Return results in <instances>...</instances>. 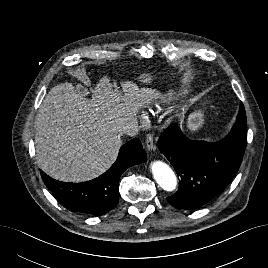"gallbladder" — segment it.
I'll return each mask as SVG.
<instances>
[{
	"label": "gallbladder",
	"mask_w": 268,
	"mask_h": 268,
	"mask_svg": "<svg viewBox=\"0 0 268 268\" xmlns=\"http://www.w3.org/2000/svg\"><path fill=\"white\" fill-rule=\"evenodd\" d=\"M78 92H79L80 94L83 95L84 92H85V91H84V88L80 86V87L78 88Z\"/></svg>",
	"instance_id": "obj_1"
}]
</instances>
